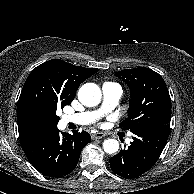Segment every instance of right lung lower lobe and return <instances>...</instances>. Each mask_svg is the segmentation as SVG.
<instances>
[{"mask_svg":"<svg viewBox=\"0 0 194 194\" xmlns=\"http://www.w3.org/2000/svg\"><path fill=\"white\" fill-rule=\"evenodd\" d=\"M91 140L82 131L60 135L57 127L31 132L20 139L29 162L45 176L62 177L77 165L83 147Z\"/></svg>","mask_w":194,"mask_h":194,"instance_id":"right-lung-lower-lobe-1","label":"right lung lower lobe"}]
</instances>
